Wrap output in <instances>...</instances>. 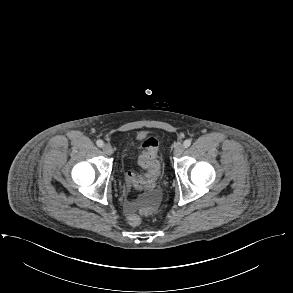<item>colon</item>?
<instances>
[{
  "label": "colon",
  "mask_w": 293,
  "mask_h": 293,
  "mask_svg": "<svg viewBox=\"0 0 293 293\" xmlns=\"http://www.w3.org/2000/svg\"><path fill=\"white\" fill-rule=\"evenodd\" d=\"M143 146L145 151L141 155L139 163L147 169L145 177L137 178L131 173H129L127 177L129 183L134 184L142 182L146 188L151 189L154 186L160 171V165L157 158L159 142L156 138L148 136L143 139ZM128 222L132 226H138L141 224V217L138 214H131L128 216Z\"/></svg>",
  "instance_id": "1"
}]
</instances>
